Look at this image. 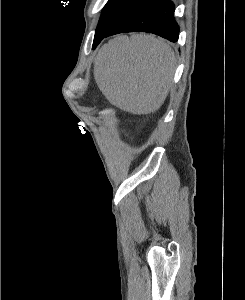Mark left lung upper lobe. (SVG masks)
Segmentation results:
<instances>
[{
    "mask_svg": "<svg viewBox=\"0 0 245 300\" xmlns=\"http://www.w3.org/2000/svg\"><path fill=\"white\" fill-rule=\"evenodd\" d=\"M143 0H108L103 8L96 32L104 33L128 10Z\"/></svg>",
    "mask_w": 245,
    "mask_h": 300,
    "instance_id": "1",
    "label": "left lung upper lobe"
}]
</instances>
